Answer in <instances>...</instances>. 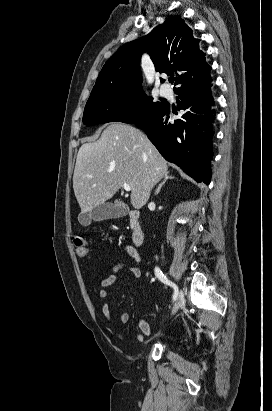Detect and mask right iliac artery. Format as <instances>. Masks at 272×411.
I'll return each mask as SVG.
<instances>
[{
	"instance_id": "82829eb1",
	"label": "right iliac artery",
	"mask_w": 272,
	"mask_h": 411,
	"mask_svg": "<svg viewBox=\"0 0 272 411\" xmlns=\"http://www.w3.org/2000/svg\"><path fill=\"white\" fill-rule=\"evenodd\" d=\"M155 275H156V277H157L162 283L167 284V285L173 287V289H174L173 302L176 301L177 296H178V294H179V292H178V287H177L174 283H172V282L163 274V272L160 270L159 267H155Z\"/></svg>"
}]
</instances>
